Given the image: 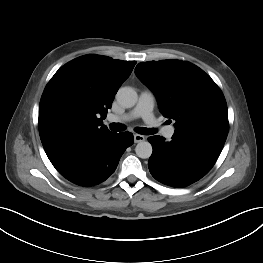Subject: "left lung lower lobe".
Segmentation results:
<instances>
[{"label":"left lung lower lobe","instance_id":"obj_1","mask_svg":"<svg viewBox=\"0 0 263 263\" xmlns=\"http://www.w3.org/2000/svg\"><path fill=\"white\" fill-rule=\"evenodd\" d=\"M153 153L148 161L152 176L172 187H186L206 175L217 161L225 140L175 132L172 140L151 136Z\"/></svg>","mask_w":263,"mask_h":263}]
</instances>
